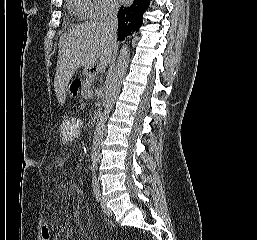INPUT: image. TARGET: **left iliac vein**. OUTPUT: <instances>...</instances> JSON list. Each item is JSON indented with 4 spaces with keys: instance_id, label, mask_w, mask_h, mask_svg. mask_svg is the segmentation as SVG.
Instances as JSON below:
<instances>
[{
    "instance_id": "1",
    "label": "left iliac vein",
    "mask_w": 257,
    "mask_h": 240,
    "mask_svg": "<svg viewBox=\"0 0 257 240\" xmlns=\"http://www.w3.org/2000/svg\"><path fill=\"white\" fill-rule=\"evenodd\" d=\"M101 209L106 216H111L112 215L111 210L107 207V205H106V203L104 202L103 199H101Z\"/></svg>"
}]
</instances>
